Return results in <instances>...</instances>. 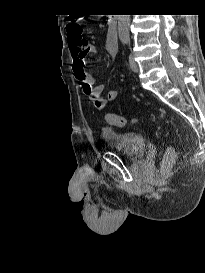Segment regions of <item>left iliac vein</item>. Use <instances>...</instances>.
Segmentation results:
<instances>
[{"label": "left iliac vein", "instance_id": "1", "mask_svg": "<svg viewBox=\"0 0 205 273\" xmlns=\"http://www.w3.org/2000/svg\"><path fill=\"white\" fill-rule=\"evenodd\" d=\"M129 64H130V68L133 72L137 73L139 68H138V64L136 63L134 57L132 54L129 55Z\"/></svg>", "mask_w": 205, "mask_h": 273}]
</instances>
